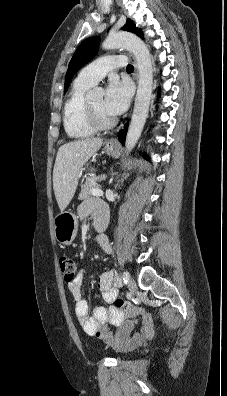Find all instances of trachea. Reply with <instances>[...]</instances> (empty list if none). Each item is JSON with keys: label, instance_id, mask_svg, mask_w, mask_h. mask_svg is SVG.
<instances>
[{"label": "trachea", "instance_id": "1", "mask_svg": "<svg viewBox=\"0 0 227 396\" xmlns=\"http://www.w3.org/2000/svg\"><path fill=\"white\" fill-rule=\"evenodd\" d=\"M127 70H128V71H133V66H132L131 64H129V65L127 66Z\"/></svg>", "mask_w": 227, "mask_h": 396}]
</instances>
